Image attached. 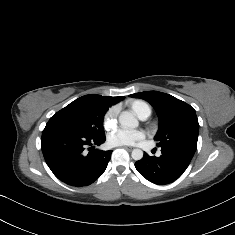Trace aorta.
<instances>
[{
  "mask_svg": "<svg viewBox=\"0 0 235 235\" xmlns=\"http://www.w3.org/2000/svg\"><path fill=\"white\" fill-rule=\"evenodd\" d=\"M119 123L122 129H134L139 125V121L130 112H123L119 116ZM131 156L138 161L143 158V151L141 149H133Z\"/></svg>",
  "mask_w": 235,
  "mask_h": 235,
  "instance_id": "762f6f07",
  "label": "aorta"
}]
</instances>
